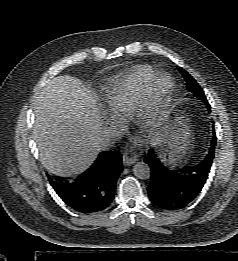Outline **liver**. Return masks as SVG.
Here are the masks:
<instances>
[{"instance_id":"1","label":"liver","mask_w":238,"mask_h":261,"mask_svg":"<svg viewBox=\"0 0 238 261\" xmlns=\"http://www.w3.org/2000/svg\"><path fill=\"white\" fill-rule=\"evenodd\" d=\"M33 134L39 159L48 172H84L103 149L100 107L91 91L72 76L51 79L35 104Z\"/></svg>"}]
</instances>
